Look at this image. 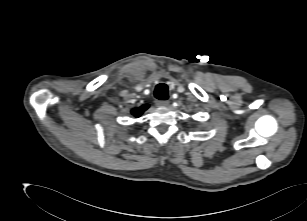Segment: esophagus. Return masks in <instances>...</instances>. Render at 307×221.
<instances>
[{
	"label": "esophagus",
	"instance_id": "34e87169",
	"mask_svg": "<svg viewBox=\"0 0 307 221\" xmlns=\"http://www.w3.org/2000/svg\"><path fill=\"white\" fill-rule=\"evenodd\" d=\"M155 104L158 107H166V106L169 105V101H167V100H156Z\"/></svg>",
	"mask_w": 307,
	"mask_h": 221
}]
</instances>
